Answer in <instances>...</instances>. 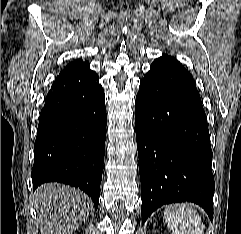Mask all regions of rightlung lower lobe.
<instances>
[{"label":"right lung lower lobe","mask_w":241,"mask_h":234,"mask_svg":"<svg viewBox=\"0 0 241 234\" xmlns=\"http://www.w3.org/2000/svg\"><path fill=\"white\" fill-rule=\"evenodd\" d=\"M85 63L59 74L40 113L33 188L57 181L79 187L99 204L106 140L105 94Z\"/></svg>","instance_id":"98d812e1"}]
</instances>
